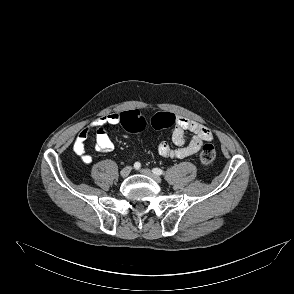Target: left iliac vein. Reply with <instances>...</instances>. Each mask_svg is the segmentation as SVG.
<instances>
[{"instance_id":"obj_1","label":"left iliac vein","mask_w":294,"mask_h":294,"mask_svg":"<svg viewBox=\"0 0 294 294\" xmlns=\"http://www.w3.org/2000/svg\"><path fill=\"white\" fill-rule=\"evenodd\" d=\"M140 173H142L143 175H146L150 178H152L154 181H156L157 183L161 182V178L159 176H157L156 174H154L151 170L149 169H141Z\"/></svg>"}]
</instances>
